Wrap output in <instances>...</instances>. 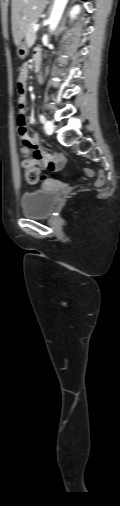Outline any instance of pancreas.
Here are the masks:
<instances>
[{"instance_id":"1","label":"pancreas","mask_w":120,"mask_h":506,"mask_svg":"<svg viewBox=\"0 0 120 506\" xmlns=\"http://www.w3.org/2000/svg\"><path fill=\"white\" fill-rule=\"evenodd\" d=\"M33 28H34V25L31 23L26 31V43L29 47H31L34 42H35V39H36V34L35 32L33 31Z\"/></svg>"}]
</instances>
